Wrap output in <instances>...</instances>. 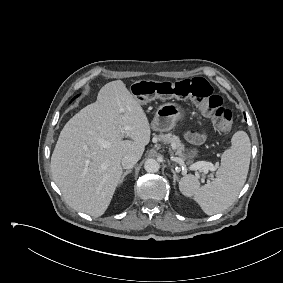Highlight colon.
<instances>
[{
    "label": "colon",
    "instance_id": "1",
    "mask_svg": "<svg viewBox=\"0 0 283 283\" xmlns=\"http://www.w3.org/2000/svg\"><path fill=\"white\" fill-rule=\"evenodd\" d=\"M132 93L141 104L156 98H189L195 101L202 112L211 118L219 133L232 128V112L223 106L222 98L204 78L196 77L178 82L141 80L132 87Z\"/></svg>",
    "mask_w": 283,
    "mask_h": 283
}]
</instances>
